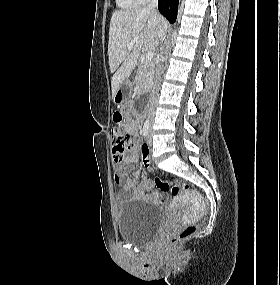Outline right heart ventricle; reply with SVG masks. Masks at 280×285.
Returning <instances> with one entry per match:
<instances>
[{
	"instance_id": "obj_1",
	"label": "right heart ventricle",
	"mask_w": 280,
	"mask_h": 285,
	"mask_svg": "<svg viewBox=\"0 0 280 285\" xmlns=\"http://www.w3.org/2000/svg\"><path fill=\"white\" fill-rule=\"evenodd\" d=\"M119 7L123 9H134L141 6L146 0H116Z\"/></svg>"
}]
</instances>
